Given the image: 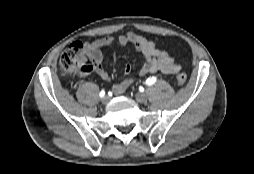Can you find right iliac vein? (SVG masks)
Wrapping results in <instances>:
<instances>
[{
    "label": "right iliac vein",
    "mask_w": 254,
    "mask_h": 174,
    "mask_svg": "<svg viewBox=\"0 0 254 174\" xmlns=\"http://www.w3.org/2000/svg\"><path fill=\"white\" fill-rule=\"evenodd\" d=\"M109 100H110L109 96H104V97L101 99V102H102L103 104H107V103L109 102Z\"/></svg>",
    "instance_id": "1"
}]
</instances>
